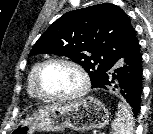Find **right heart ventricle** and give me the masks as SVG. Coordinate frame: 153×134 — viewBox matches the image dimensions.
I'll return each mask as SVG.
<instances>
[{"label": "right heart ventricle", "mask_w": 153, "mask_h": 134, "mask_svg": "<svg viewBox=\"0 0 153 134\" xmlns=\"http://www.w3.org/2000/svg\"><path fill=\"white\" fill-rule=\"evenodd\" d=\"M40 62L38 63H35L30 72H29V75H28V79H27V91H28V94L36 99V100H42L41 96L38 94L36 88H35V74L40 66Z\"/></svg>", "instance_id": "e07e8e85"}]
</instances>
